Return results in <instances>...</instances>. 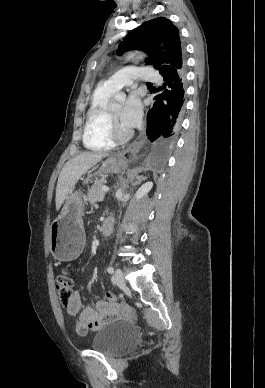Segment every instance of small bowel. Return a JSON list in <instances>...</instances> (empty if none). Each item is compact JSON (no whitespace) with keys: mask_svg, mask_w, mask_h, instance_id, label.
Listing matches in <instances>:
<instances>
[{"mask_svg":"<svg viewBox=\"0 0 265 388\" xmlns=\"http://www.w3.org/2000/svg\"><path fill=\"white\" fill-rule=\"evenodd\" d=\"M67 312L71 316H78L75 329L78 334L84 335L89 330L100 329L106 323L115 320L119 315V308L116 304L99 300L91 306L82 308L80 296L77 292L72 294Z\"/></svg>","mask_w":265,"mask_h":388,"instance_id":"1","label":"small bowel"}]
</instances>
